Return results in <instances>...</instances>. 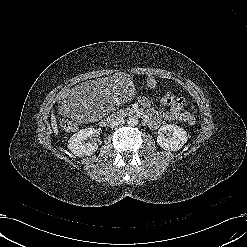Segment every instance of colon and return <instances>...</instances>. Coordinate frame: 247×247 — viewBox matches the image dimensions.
<instances>
[{
	"label": "colon",
	"mask_w": 247,
	"mask_h": 247,
	"mask_svg": "<svg viewBox=\"0 0 247 247\" xmlns=\"http://www.w3.org/2000/svg\"><path fill=\"white\" fill-rule=\"evenodd\" d=\"M172 99H173V94H172L171 92H166V93L164 94V96H161V97L159 98V103H160L161 105H163V106H169V105L171 104V100H172ZM186 122H187L189 125H191V126L195 125V123H196V118H195V116H194V115H189V116L187 117V119H186ZM60 126H61V128H62L63 130L72 131V130L77 129L78 124H77L74 120H72V119H70V118H68V117H63V118L61 119Z\"/></svg>",
	"instance_id": "colon-1"
}]
</instances>
